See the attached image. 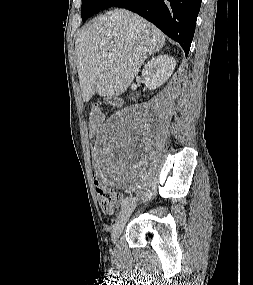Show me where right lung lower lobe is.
<instances>
[{
	"instance_id": "98d812e1",
	"label": "right lung lower lobe",
	"mask_w": 253,
	"mask_h": 285,
	"mask_svg": "<svg viewBox=\"0 0 253 285\" xmlns=\"http://www.w3.org/2000/svg\"><path fill=\"white\" fill-rule=\"evenodd\" d=\"M202 0H118L113 6L131 10L177 41L188 56Z\"/></svg>"
}]
</instances>
